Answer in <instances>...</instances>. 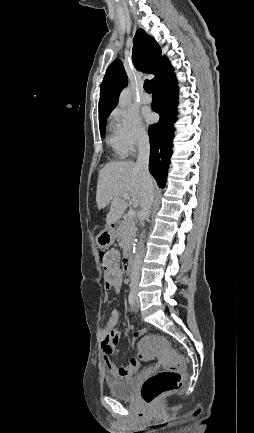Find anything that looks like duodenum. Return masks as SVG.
<instances>
[{
    "label": "duodenum",
    "instance_id": "duodenum-1",
    "mask_svg": "<svg viewBox=\"0 0 254 433\" xmlns=\"http://www.w3.org/2000/svg\"><path fill=\"white\" fill-rule=\"evenodd\" d=\"M110 230L113 233L116 232L117 226L115 223L110 225ZM131 265H132V256L131 253L127 250L124 254V259H123V269L126 273L130 272Z\"/></svg>",
    "mask_w": 254,
    "mask_h": 433
}]
</instances>
